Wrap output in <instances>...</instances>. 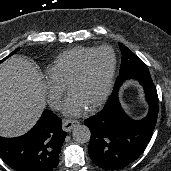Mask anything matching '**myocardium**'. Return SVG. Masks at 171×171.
<instances>
[{"label":"myocardium","mask_w":171,"mask_h":171,"mask_svg":"<svg viewBox=\"0 0 171 171\" xmlns=\"http://www.w3.org/2000/svg\"><path fill=\"white\" fill-rule=\"evenodd\" d=\"M103 50H107L112 54L113 57V63H112V67H111V71L106 83V87L105 90L103 92V94L101 95V97L92 105L89 107L90 110H95L98 107H100L109 97L111 91H112V87L114 84V79H115V75H116V70H117V55L115 53V51L109 47V46H101L98 47L96 49H94V51L92 53H90L83 61L82 63L79 65V67L77 68V70L75 71V73L73 74V76L71 77L69 83H68V91H70L71 87L74 85V83H76L84 74L89 62L92 60V58L99 52L103 51Z\"/></svg>","instance_id":"1"}]
</instances>
